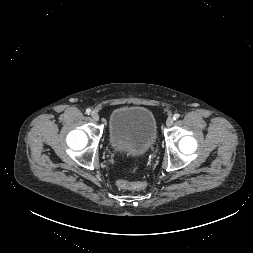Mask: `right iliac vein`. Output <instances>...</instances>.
I'll return each instance as SVG.
<instances>
[{"label":"right iliac vein","instance_id":"1","mask_svg":"<svg viewBox=\"0 0 253 253\" xmlns=\"http://www.w3.org/2000/svg\"><path fill=\"white\" fill-rule=\"evenodd\" d=\"M91 117L94 121H98L99 120V115L97 112H92L91 113Z\"/></svg>","mask_w":253,"mask_h":253}]
</instances>
